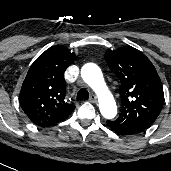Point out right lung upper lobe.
I'll return each mask as SVG.
<instances>
[{
	"label": "right lung upper lobe",
	"instance_id": "obj_1",
	"mask_svg": "<svg viewBox=\"0 0 171 171\" xmlns=\"http://www.w3.org/2000/svg\"><path fill=\"white\" fill-rule=\"evenodd\" d=\"M62 46L41 54L28 70L19 95L23 111L37 126H52L66 118L75 108L65 98L64 72L74 61Z\"/></svg>",
	"mask_w": 171,
	"mask_h": 171
}]
</instances>
